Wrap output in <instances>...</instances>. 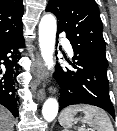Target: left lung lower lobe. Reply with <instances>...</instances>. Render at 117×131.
<instances>
[{"label": "left lung lower lobe", "instance_id": "left-lung-lower-lobe-1", "mask_svg": "<svg viewBox=\"0 0 117 131\" xmlns=\"http://www.w3.org/2000/svg\"><path fill=\"white\" fill-rule=\"evenodd\" d=\"M63 32L58 28L57 36ZM73 69L57 65L54 78L60 86V108L73 104H90L106 110L115 119L109 96L107 74L94 63L74 52Z\"/></svg>", "mask_w": 117, "mask_h": 131}]
</instances>
